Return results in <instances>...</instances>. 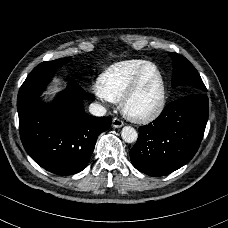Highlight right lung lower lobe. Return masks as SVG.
<instances>
[{"mask_svg": "<svg viewBox=\"0 0 228 228\" xmlns=\"http://www.w3.org/2000/svg\"><path fill=\"white\" fill-rule=\"evenodd\" d=\"M54 73L29 75L22 84L17 98L20 137L26 152L42 168L72 175L85 169L98 135L111 126L112 119L85 113L82 100L88 94L71 78L66 90L45 104L40 95Z\"/></svg>", "mask_w": 228, "mask_h": 228, "instance_id": "right-lung-lower-lobe-1", "label": "right lung lower lobe"}]
</instances>
